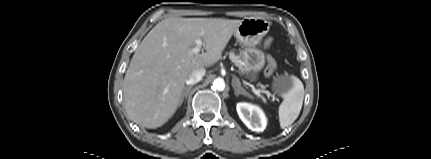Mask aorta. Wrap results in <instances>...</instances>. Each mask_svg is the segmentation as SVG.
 Returning <instances> with one entry per match:
<instances>
[{
  "mask_svg": "<svg viewBox=\"0 0 431 159\" xmlns=\"http://www.w3.org/2000/svg\"><path fill=\"white\" fill-rule=\"evenodd\" d=\"M213 88L218 91H223L225 89V82L221 78H217L213 82Z\"/></svg>",
  "mask_w": 431,
  "mask_h": 159,
  "instance_id": "1",
  "label": "aorta"
}]
</instances>
